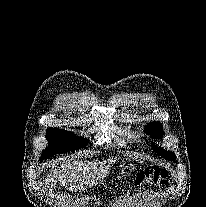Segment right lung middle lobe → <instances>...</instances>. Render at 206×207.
<instances>
[{"mask_svg":"<svg viewBox=\"0 0 206 207\" xmlns=\"http://www.w3.org/2000/svg\"><path fill=\"white\" fill-rule=\"evenodd\" d=\"M46 137L50 145L42 153L40 160L54 154L81 149L87 144V139L75 137L72 133L58 128H49Z\"/></svg>","mask_w":206,"mask_h":207,"instance_id":"dd1d6c3e","label":"right lung middle lobe"}]
</instances>
